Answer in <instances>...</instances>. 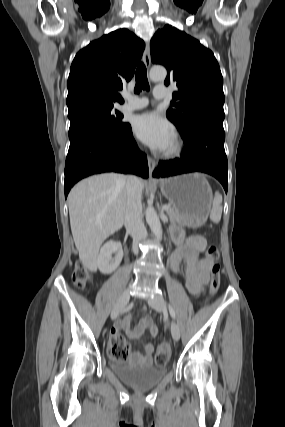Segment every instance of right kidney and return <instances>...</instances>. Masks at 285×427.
<instances>
[{"label": "right kidney", "mask_w": 285, "mask_h": 427, "mask_svg": "<svg viewBox=\"0 0 285 427\" xmlns=\"http://www.w3.org/2000/svg\"><path fill=\"white\" fill-rule=\"evenodd\" d=\"M112 254H115L112 257ZM123 258L122 246L118 242L109 241L105 243L97 258V266L101 273L110 274L120 265Z\"/></svg>", "instance_id": "right-kidney-1"}]
</instances>
